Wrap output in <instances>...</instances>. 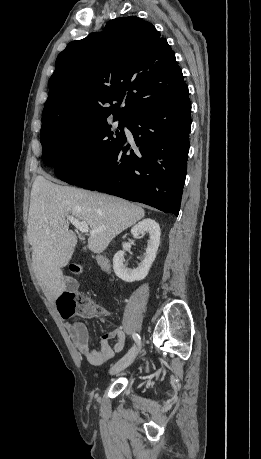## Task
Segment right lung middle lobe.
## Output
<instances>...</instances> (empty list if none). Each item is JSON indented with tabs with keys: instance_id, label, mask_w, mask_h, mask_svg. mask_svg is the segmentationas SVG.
<instances>
[{
	"instance_id": "1",
	"label": "right lung middle lobe",
	"mask_w": 261,
	"mask_h": 459,
	"mask_svg": "<svg viewBox=\"0 0 261 459\" xmlns=\"http://www.w3.org/2000/svg\"><path fill=\"white\" fill-rule=\"evenodd\" d=\"M117 120V119H114ZM122 121L112 131L107 120L88 125H65L41 133L42 160L56 176L72 182L107 160L125 139Z\"/></svg>"
}]
</instances>
